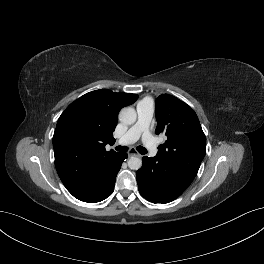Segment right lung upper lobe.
Masks as SVG:
<instances>
[{
    "label": "right lung upper lobe",
    "instance_id": "right-lung-upper-lobe-1",
    "mask_svg": "<svg viewBox=\"0 0 264 264\" xmlns=\"http://www.w3.org/2000/svg\"><path fill=\"white\" fill-rule=\"evenodd\" d=\"M136 94L107 89L89 92L72 102L58 119L53 136L55 166L67 190L88 201L105 186L106 172L119 154L114 144L119 111L137 100Z\"/></svg>",
    "mask_w": 264,
    "mask_h": 264
}]
</instances>
